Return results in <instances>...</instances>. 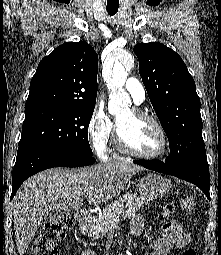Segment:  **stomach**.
I'll use <instances>...</instances> for the list:
<instances>
[{
    "instance_id": "obj_1",
    "label": "stomach",
    "mask_w": 221,
    "mask_h": 255,
    "mask_svg": "<svg viewBox=\"0 0 221 255\" xmlns=\"http://www.w3.org/2000/svg\"><path fill=\"white\" fill-rule=\"evenodd\" d=\"M170 182L162 176L148 174L137 184V190L144 202L147 204L162 198L170 190Z\"/></svg>"
}]
</instances>
